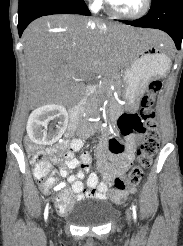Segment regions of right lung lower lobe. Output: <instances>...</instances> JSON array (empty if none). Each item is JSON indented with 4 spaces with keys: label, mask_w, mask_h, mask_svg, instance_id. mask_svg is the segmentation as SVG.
I'll use <instances>...</instances> for the list:
<instances>
[{
    "label": "right lung lower lobe",
    "mask_w": 183,
    "mask_h": 246,
    "mask_svg": "<svg viewBox=\"0 0 183 246\" xmlns=\"http://www.w3.org/2000/svg\"><path fill=\"white\" fill-rule=\"evenodd\" d=\"M52 14L90 15V11L82 0H19V36L21 37L30 22Z\"/></svg>",
    "instance_id": "obj_1"
}]
</instances>
